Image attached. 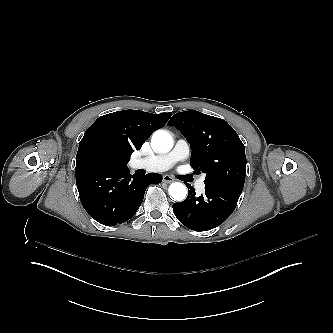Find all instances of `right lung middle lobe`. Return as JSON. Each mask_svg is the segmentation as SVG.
Returning <instances> with one entry per match:
<instances>
[{
	"label": "right lung middle lobe",
	"mask_w": 333,
	"mask_h": 333,
	"mask_svg": "<svg viewBox=\"0 0 333 333\" xmlns=\"http://www.w3.org/2000/svg\"><path fill=\"white\" fill-rule=\"evenodd\" d=\"M87 165H93L103 168H120L126 167V165H121L115 160H113L109 155L103 151H94L88 158Z\"/></svg>",
	"instance_id": "right-lung-middle-lobe-1"
}]
</instances>
